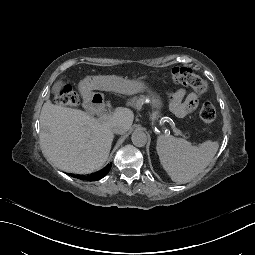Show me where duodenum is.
I'll use <instances>...</instances> for the list:
<instances>
[{"label": "duodenum", "instance_id": "410a0bca", "mask_svg": "<svg viewBox=\"0 0 255 255\" xmlns=\"http://www.w3.org/2000/svg\"><path fill=\"white\" fill-rule=\"evenodd\" d=\"M80 93L84 106L91 115L101 117L105 113V103L102 96L95 92L90 84L84 83L81 85Z\"/></svg>", "mask_w": 255, "mask_h": 255}]
</instances>
